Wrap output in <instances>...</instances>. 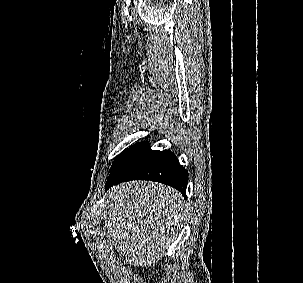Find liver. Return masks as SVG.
<instances>
[{
    "mask_svg": "<svg viewBox=\"0 0 303 283\" xmlns=\"http://www.w3.org/2000/svg\"><path fill=\"white\" fill-rule=\"evenodd\" d=\"M104 210L111 245L134 266L154 265L176 238L186 217L176 190L154 182L133 181L111 188Z\"/></svg>",
    "mask_w": 303,
    "mask_h": 283,
    "instance_id": "liver-1",
    "label": "liver"
}]
</instances>
